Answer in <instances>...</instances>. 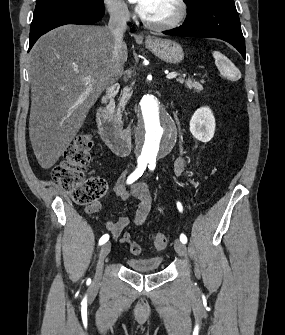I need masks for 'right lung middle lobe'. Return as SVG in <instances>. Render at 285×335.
I'll return each mask as SVG.
<instances>
[{"label":"right lung middle lobe","mask_w":285,"mask_h":335,"mask_svg":"<svg viewBox=\"0 0 285 335\" xmlns=\"http://www.w3.org/2000/svg\"><path fill=\"white\" fill-rule=\"evenodd\" d=\"M57 4H69L89 8L103 7L102 0H36V8L34 13Z\"/></svg>","instance_id":"obj_1"}]
</instances>
